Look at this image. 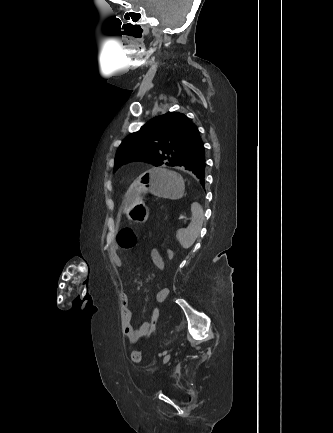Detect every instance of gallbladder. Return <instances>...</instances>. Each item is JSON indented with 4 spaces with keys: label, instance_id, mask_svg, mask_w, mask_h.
I'll return each mask as SVG.
<instances>
[{
    "label": "gallbladder",
    "instance_id": "gallbladder-1",
    "mask_svg": "<svg viewBox=\"0 0 333 433\" xmlns=\"http://www.w3.org/2000/svg\"><path fill=\"white\" fill-rule=\"evenodd\" d=\"M101 15L104 16V15H105V12H104V11H101Z\"/></svg>",
    "mask_w": 333,
    "mask_h": 433
}]
</instances>
